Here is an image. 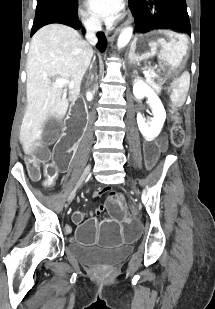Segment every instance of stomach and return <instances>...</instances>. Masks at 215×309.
Returning <instances> with one entry per match:
<instances>
[{
    "label": "stomach",
    "instance_id": "obj_1",
    "mask_svg": "<svg viewBox=\"0 0 215 309\" xmlns=\"http://www.w3.org/2000/svg\"><path fill=\"white\" fill-rule=\"evenodd\" d=\"M188 37L169 29H154L137 33L129 49L131 63H139L156 56L160 66L169 72L182 68L187 60Z\"/></svg>",
    "mask_w": 215,
    "mask_h": 309
}]
</instances>
